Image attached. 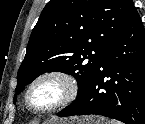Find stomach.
<instances>
[{"instance_id": "1", "label": "stomach", "mask_w": 145, "mask_h": 124, "mask_svg": "<svg viewBox=\"0 0 145 124\" xmlns=\"http://www.w3.org/2000/svg\"><path fill=\"white\" fill-rule=\"evenodd\" d=\"M48 124H108L101 117H72L68 119L58 120L57 123H48Z\"/></svg>"}]
</instances>
